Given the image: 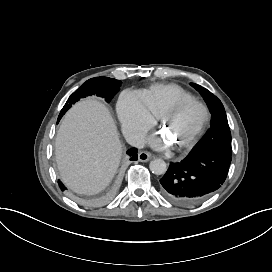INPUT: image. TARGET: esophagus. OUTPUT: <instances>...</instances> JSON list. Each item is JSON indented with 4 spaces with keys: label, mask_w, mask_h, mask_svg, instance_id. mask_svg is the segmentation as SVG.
I'll use <instances>...</instances> for the list:
<instances>
[{
    "label": "esophagus",
    "mask_w": 272,
    "mask_h": 272,
    "mask_svg": "<svg viewBox=\"0 0 272 272\" xmlns=\"http://www.w3.org/2000/svg\"><path fill=\"white\" fill-rule=\"evenodd\" d=\"M150 159H152V155L148 152L141 151L138 154V160L140 162H148Z\"/></svg>",
    "instance_id": "34e87169"
}]
</instances>
